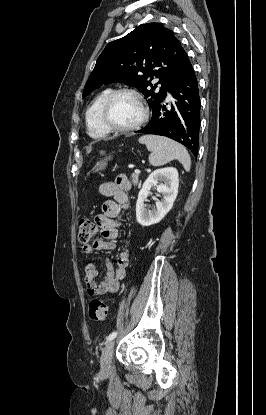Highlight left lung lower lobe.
I'll return each mask as SVG.
<instances>
[{
	"mask_svg": "<svg viewBox=\"0 0 266 415\" xmlns=\"http://www.w3.org/2000/svg\"><path fill=\"white\" fill-rule=\"evenodd\" d=\"M174 99L167 107L160 104L150 122L139 133L169 137L186 146L197 157L200 129V96L198 81L189 59L169 91Z\"/></svg>",
	"mask_w": 266,
	"mask_h": 415,
	"instance_id": "0a47b994",
	"label": "left lung lower lobe"
}]
</instances>
